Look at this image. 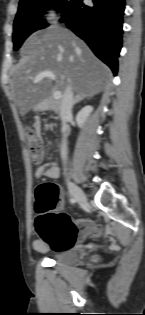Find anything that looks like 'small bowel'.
Here are the masks:
<instances>
[{
    "label": "small bowel",
    "instance_id": "small-bowel-1",
    "mask_svg": "<svg viewBox=\"0 0 145 315\" xmlns=\"http://www.w3.org/2000/svg\"><path fill=\"white\" fill-rule=\"evenodd\" d=\"M34 126H35L37 131L40 130L41 123L38 119H36L34 121ZM58 176H59V166L55 162L47 163V164L41 166L40 168H38L35 172V177L37 179H40V178H57ZM62 208H63V200H62V204L58 205L57 210H62ZM33 248L35 251L41 252V253L48 251V245L45 242H43L40 238L34 240Z\"/></svg>",
    "mask_w": 145,
    "mask_h": 315
}]
</instances>
